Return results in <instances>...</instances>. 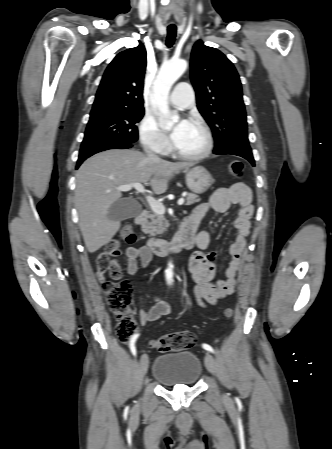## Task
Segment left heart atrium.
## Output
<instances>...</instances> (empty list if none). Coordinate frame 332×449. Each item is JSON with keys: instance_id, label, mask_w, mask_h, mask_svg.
Returning a JSON list of instances; mask_svg holds the SVG:
<instances>
[{"instance_id": "1", "label": "left heart atrium", "mask_w": 332, "mask_h": 449, "mask_svg": "<svg viewBox=\"0 0 332 449\" xmlns=\"http://www.w3.org/2000/svg\"><path fill=\"white\" fill-rule=\"evenodd\" d=\"M188 125L189 122L184 119L175 125V127L172 129L170 133V137L174 143L180 138L181 134L187 128Z\"/></svg>"}]
</instances>
